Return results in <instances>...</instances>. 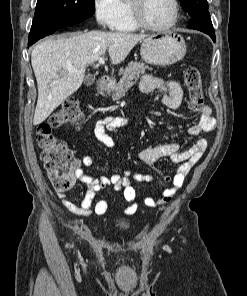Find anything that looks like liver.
<instances>
[{
    "label": "liver",
    "instance_id": "obj_1",
    "mask_svg": "<svg viewBox=\"0 0 247 296\" xmlns=\"http://www.w3.org/2000/svg\"><path fill=\"white\" fill-rule=\"evenodd\" d=\"M146 35L90 31L40 42L31 53L38 87L33 124L39 125L82 85L86 67L108 50L119 64ZM70 68L77 69L72 73Z\"/></svg>",
    "mask_w": 247,
    "mask_h": 296
}]
</instances>
